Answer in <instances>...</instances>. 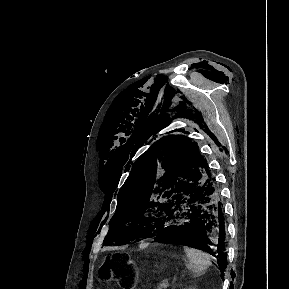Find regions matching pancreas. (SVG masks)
Segmentation results:
<instances>
[{
	"label": "pancreas",
	"instance_id": "obj_1",
	"mask_svg": "<svg viewBox=\"0 0 289 289\" xmlns=\"http://www.w3.org/2000/svg\"><path fill=\"white\" fill-rule=\"evenodd\" d=\"M156 289H162V288L158 286Z\"/></svg>",
	"mask_w": 289,
	"mask_h": 289
}]
</instances>
